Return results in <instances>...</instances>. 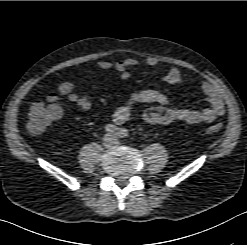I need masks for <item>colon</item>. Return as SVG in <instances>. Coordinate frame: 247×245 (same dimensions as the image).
Returning a JSON list of instances; mask_svg holds the SVG:
<instances>
[{
	"mask_svg": "<svg viewBox=\"0 0 247 245\" xmlns=\"http://www.w3.org/2000/svg\"><path fill=\"white\" fill-rule=\"evenodd\" d=\"M61 116L60 110L51 105L44 103H35L31 106L28 113L27 128L33 134L42 133L50 124L59 119ZM222 128L221 122L210 124L206 128L209 134L218 133Z\"/></svg>",
	"mask_w": 247,
	"mask_h": 245,
	"instance_id": "colon-1",
	"label": "colon"
}]
</instances>
